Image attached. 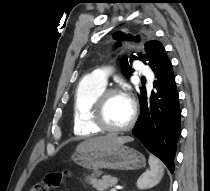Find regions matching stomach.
Returning a JSON list of instances; mask_svg holds the SVG:
<instances>
[{
  "instance_id": "obj_1",
  "label": "stomach",
  "mask_w": 210,
  "mask_h": 191,
  "mask_svg": "<svg viewBox=\"0 0 210 191\" xmlns=\"http://www.w3.org/2000/svg\"><path fill=\"white\" fill-rule=\"evenodd\" d=\"M72 160L94 172L100 169L139 170L146 165L145 157L140 152L123 144L101 149L76 150Z\"/></svg>"
}]
</instances>
